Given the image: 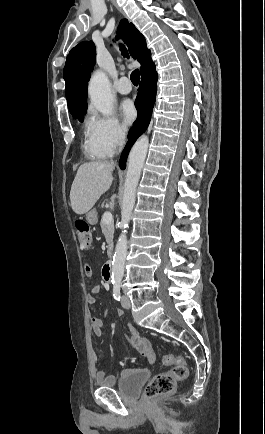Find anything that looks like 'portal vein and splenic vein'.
Instances as JSON below:
<instances>
[{
    "label": "portal vein and splenic vein",
    "instance_id": "18ae733b",
    "mask_svg": "<svg viewBox=\"0 0 265 434\" xmlns=\"http://www.w3.org/2000/svg\"><path fill=\"white\" fill-rule=\"evenodd\" d=\"M102 222H105V224H111V222H113V216L111 212H104L102 216Z\"/></svg>",
    "mask_w": 265,
    "mask_h": 434
}]
</instances>
